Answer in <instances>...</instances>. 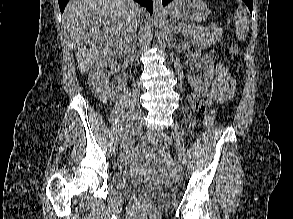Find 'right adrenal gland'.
<instances>
[{
    "label": "right adrenal gland",
    "mask_w": 293,
    "mask_h": 219,
    "mask_svg": "<svg viewBox=\"0 0 293 219\" xmlns=\"http://www.w3.org/2000/svg\"><path fill=\"white\" fill-rule=\"evenodd\" d=\"M132 47H133V48L135 47V41L133 42V45H132Z\"/></svg>",
    "instance_id": "right-adrenal-gland-1"
}]
</instances>
